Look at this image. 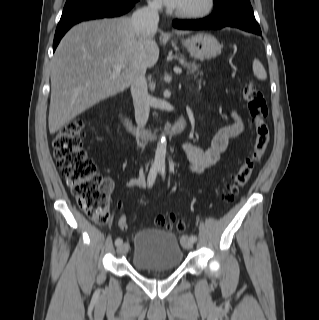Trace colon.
<instances>
[{
  "label": "colon",
  "mask_w": 319,
  "mask_h": 320,
  "mask_svg": "<svg viewBox=\"0 0 319 320\" xmlns=\"http://www.w3.org/2000/svg\"><path fill=\"white\" fill-rule=\"evenodd\" d=\"M245 100L254 128V139L248 155L238 166L232 177L226 182L222 197L232 202L239 189L249 181L254 168L264 156L270 139L267 123L268 109L264 95L254 82H248L243 88ZM84 122L75 119L64 125L55 135L52 146L62 176L71 187L79 207L96 223L105 224L109 220V194L112 188L109 179L101 175L96 165L82 146ZM121 229L128 228L125 217L118 221ZM155 225L161 228H176L184 231L185 224L177 220L174 214L159 215Z\"/></svg>",
  "instance_id": "1"
}]
</instances>
